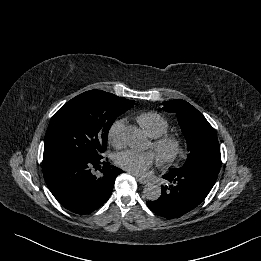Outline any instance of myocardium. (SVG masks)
<instances>
[{"mask_svg":"<svg viewBox=\"0 0 261 261\" xmlns=\"http://www.w3.org/2000/svg\"><path fill=\"white\" fill-rule=\"evenodd\" d=\"M160 166H169L175 162L182 153V141L176 134L165 133L153 138L150 143Z\"/></svg>","mask_w":261,"mask_h":261,"instance_id":"1","label":"myocardium"}]
</instances>
